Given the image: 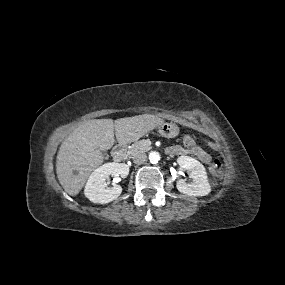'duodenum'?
I'll return each mask as SVG.
<instances>
[{
	"mask_svg": "<svg viewBox=\"0 0 285 285\" xmlns=\"http://www.w3.org/2000/svg\"><path fill=\"white\" fill-rule=\"evenodd\" d=\"M126 156V147L124 144H118L112 151V157L116 162L122 161Z\"/></svg>",
	"mask_w": 285,
	"mask_h": 285,
	"instance_id": "duodenum-1",
	"label": "duodenum"
}]
</instances>
